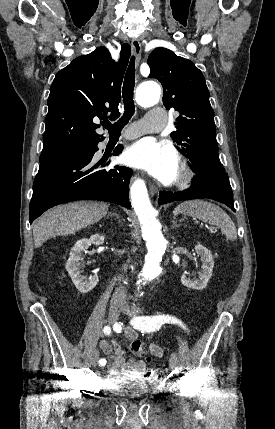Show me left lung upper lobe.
Returning <instances> with one entry per match:
<instances>
[{"instance_id":"left-lung-upper-lobe-1","label":"left lung upper lobe","mask_w":275,"mask_h":429,"mask_svg":"<svg viewBox=\"0 0 275 429\" xmlns=\"http://www.w3.org/2000/svg\"><path fill=\"white\" fill-rule=\"evenodd\" d=\"M147 63L149 77L163 86L165 107L179 112L174 123L177 130L171 137L190 158V166L194 170L215 167L225 171L218 156L214 111L202 72L190 60L162 47L151 52Z\"/></svg>"}]
</instances>
